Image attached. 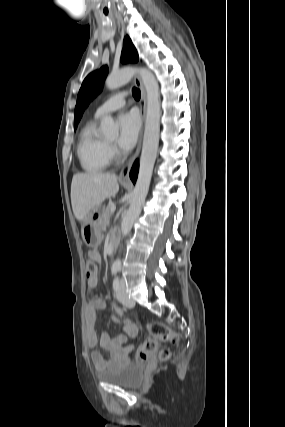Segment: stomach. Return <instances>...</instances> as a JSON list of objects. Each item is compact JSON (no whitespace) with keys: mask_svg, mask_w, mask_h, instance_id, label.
<instances>
[{"mask_svg":"<svg viewBox=\"0 0 285 427\" xmlns=\"http://www.w3.org/2000/svg\"><path fill=\"white\" fill-rule=\"evenodd\" d=\"M104 209L99 206L91 210L83 220L82 237L89 246H95L100 240V221Z\"/></svg>","mask_w":285,"mask_h":427,"instance_id":"obj_1","label":"stomach"}]
</instances>
